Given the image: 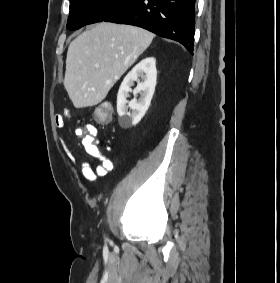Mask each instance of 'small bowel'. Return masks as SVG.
<instances>
[{"label":"small bowel","instance_id":"obj_1","mask_svg":"<svg viewBox=\"0 0 280 283\" xmlns=\"http://www.w3.org/2000/svg\"><path fill=\"white\" fill-rule=\"evenodd\" d=\"M73 118L72 112L69 110H64L60 114L55 117V125L58 128H62L65 126L66 122ZM95 132H81L79 135L81 136V142L84 147L85 152L96 159H98L99 163L96 168H94L88 161H82L80 163V171L82 176L91 183L97 181L98 177L105 176L108 172L113 169V162L108 157L101 153V150L98 146V142L94 137ZM63 151L71 162H76L75 153L65 144H63Z\"/></svg>","mask_w":280,"mask_h":283}]
</instances>
